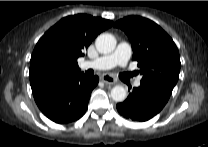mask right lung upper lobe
Returning <instances> with one entry per match:
<instances>
[{
	"mask_svg": "<svg viewBox=\"0 0 208 147\" xmlns=\"http://www.w3.org/2000/svg\"><path fill=\"white\" fill-rule=\"evenodd\" d=\"M112 25L110 20L77 14L51 27L33 50L29 73L32 92L80 74L78 57L84 55L100 32Z\"/></svg>",
	"mask_w": 208,
	"mask_h": 147,
	"instance_id": "1",
	"label": "right lung upper lobe"
}]
</instances>
